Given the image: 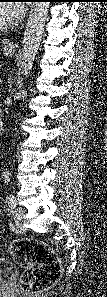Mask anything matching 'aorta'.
Instances as JSON below:
<instances>
[{"instance_id":"1","label":"aorta","mask_w":107,"mask_h":297,"mask_svg":"<svg viewBox=\"0 0 107 297\" xmlns=\"http://www.w3.org/2000/svg\"><path fill=\"white\" fill-rule=\"evenodd\" d=\"M49 2H34L31 6L22 42V57L20 67L27 77L30 73L36 53L44 33Z\"/></svg>"}]
</instances>
